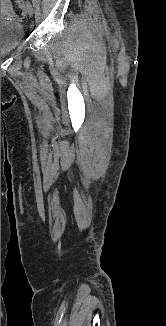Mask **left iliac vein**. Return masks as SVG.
<instances>
[{
  "label": "left iliac vein",
  "instance_id": "1",
  "mask_svg": "<svg viewBox=\"0 0 166 326\" xmlns=\"http://www.w3.org/2000/svg\"><path fill=\"white\" fill-rule=\"evenodd\" d=\"M25 11L30 17L33 16L34 10L32 4L29 1L26 2Z\"/></svg>",
  "mask_w": 166,
  "mask_h": 326
}]
</instances>
